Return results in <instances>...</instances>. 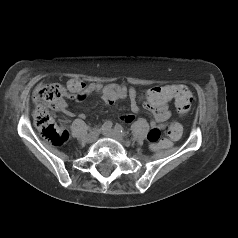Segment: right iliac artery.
I'll list each match as a JSON object with an SVG mask.
<instances>
[{"label": "right iliac artery", "mask_w": 238, "mask_h": 238, "mask_svg": "<svg viewBox=\"0 0 238 238\" xmlns=\"http://www.w3.org/2000/svg\"><path fill=\"white\" fill-rule=\"evenodd\" d=\"M111 127H112V122H111V121H106V122L102 125V129H103V130L111 129Z\"/></svg>", "instance_id": "right-iliac-artery-1"}]
</instances>
